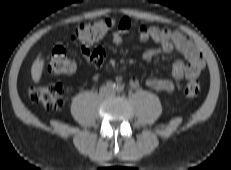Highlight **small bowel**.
<instances>
[{"label": "small bowel", "instance_id": "obj_1", "mask_svg": "<svg viewBox=\"0 0 231 170\" xmlns=\"http://www.w3.org/2000/svg\"><path fill=\"white\" fill-rule=\"evenodd\" d=\"M134 30L140 40H153L157 49H150L144 53V58L150 60L160 53H170L173 50L180 52L186 62L177 60L172 66V78L152 77L146 80V86L156 90L172 93L176 90L182 80H193L197 78L205 66L201 52L194 46L191 40L177 30L161 29L155 26L134 24L128 17H122L118 22L117 30L112 40L116 46H123V36ZM83 55L86 61L93 66H100L104 59V51L100 48L91 49L88 44L82 45ZM129 83L137 87L139 81L131 77Z\"/></svg>", "mask_w": 231, "mask_h": 170}]
</instances>
